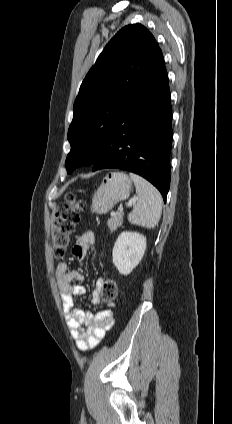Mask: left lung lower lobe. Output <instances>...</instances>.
<instances>
[{
  "mask_svg": "<svg viewBox=\"0 0 232 424\" xmlns=\"http://www.w3.org/2000/svg\"><path fill=\"white\" fill-rule=\"evenodd\" d=\"M172 108L162 59L130 99L94 162L93 171L119 168L150 181L166 201L170 187L169 155Z\"/></svg>",
  "mask_w": 232,
  "mask_h": 424,
  "instance_id": "left-lung-lower-lobe-1",
  "label": "left lung lower lobe"
}]
</instances>
